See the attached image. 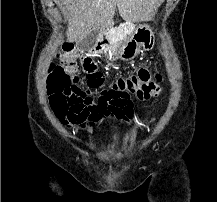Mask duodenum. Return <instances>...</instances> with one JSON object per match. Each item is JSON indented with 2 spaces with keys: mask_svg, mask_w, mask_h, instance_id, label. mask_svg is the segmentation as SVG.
Instances as JSON below:
<instances>
[{
  "mask_svg": "<svg viewBox=\"0 0 217 202\" xmlns=\"http://www.w3.org/2000/svg\"><path fill=\"white\" fill-rule=\"evenodd\" d=\"M118 41V36L114 31L105 30L101 32L96 44L82 58L84 69L90 73L96 70V65L93 61L94 56L105 58L114 57L116 55Z\"/></svg>",
  "mask_w": 217,
  "mask_h": 202,
  "instance_id": "duodenum-1",
  "label": "duodenum"
}]
</instances>
